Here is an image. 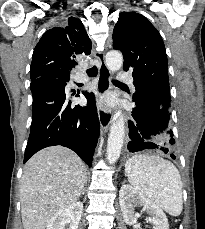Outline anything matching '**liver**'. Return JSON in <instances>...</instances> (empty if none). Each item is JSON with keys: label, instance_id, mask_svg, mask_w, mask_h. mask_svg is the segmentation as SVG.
Here are the masks:
<instances>
[{"label": "liver", "instance_id": "1", "mask_svg": "<svg viewBox=\"0 0 205 229\" xmlns=\"http://www.w3.org/2000/svg\"><path fill=\"white\" fill-rule=\"evenodd\" d=\"M86 175L83 161L68 148L52 146L33 155L20 184L24 229H46L58 210L78 200Z\"/></svg>", "mask_w": 205, "mask_h": 229}]
</instances>
